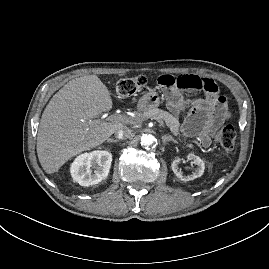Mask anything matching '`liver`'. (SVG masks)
Segmentation results:
<instances>
[{"mask_svg": "<svg viewBox=\"0 0 269 269\" xmlns=\"http://www.w3.org/2000/svg\"><path fill=\"white\" fill-rule=\"evenodd\" d=\"M112 108L111 92L96 75L69 81L49 101L37 133V155L46 173L101 145L124 124L95 119Z\"/></svg>", "mask_w": 269, "mask_h": 269, "instance_id": "6515ba94", "label": "liver"}]
</instances>
